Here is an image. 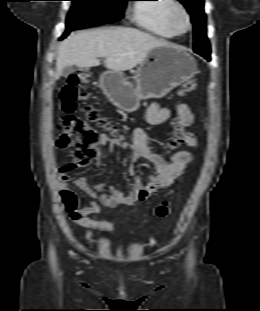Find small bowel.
Listing matches in <instances>:
<instances>
[{
    "label": "small bowel",
    "instance_id": "small-bowel-1",
    "mask_svg": "<svg viewBox=\"0 0 260 311\" xmlns=\"http://www.w3.org/2000/svg\"><path fill=\"white\" fill-rule=\"evenodd\" d=\"M177 124L186 128L193 122V114L185 104H179L176 108ZM171 116V110L158 103H151L146 110L145 119L149 124L158 125L166 122ZM102 145L108 147L110 152L121 148L131 151L128 174L133 179V185L129 192L109 186L104 183L91 184L84 176L74 177L73 172L81 167L76 162H70L60 169V194L66 211L77 225L100 231H110L113 224L108 221H95L92 215L99 213L100 207L114 208L119 205L134 206L157 194L161 189L172 185L183 173L185 167L192 160L191 151H179L169 159L163 158L154 152L149 146L148 135L142 128H136L132 132L131 140H122L115 136L103 135ZM186 145L195 150L198 141L192 132L186 133ZM103 158L98 153V162ZM144 159L150 162L156 169V173L150 175L146 183L136 174L134 161ZM71 184L78 190L88 195L92 200L82 203L77 198Z\"/></svg>",
    "mask_w": 260,
    "mask_h": 311
}]
</instances>
